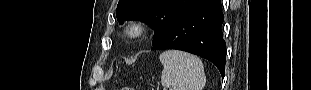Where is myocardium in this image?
<instances>
[{"label":"myocardium","mask_w":311,"mask_h":90,"mask_svg":"<svg viewBox=\"0 0 311 90\" xmlns=\"http://www.w3.org/2000/svg\"><path fill=\"white\" fill-rule=\"evenodd\" d=\"M147 31V24L141 20H133L125 24L122 35L125 39L135 41L142 38Z\"/></svg>","instance_id":"obj_1"}]
</instances>
